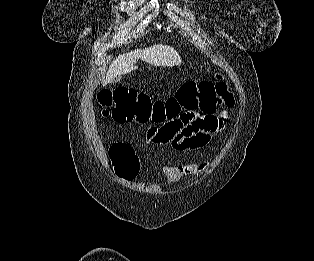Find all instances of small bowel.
<instances>
[{
    "mask_svg": "<svg viewBox=\"0 0 314 261\" xmlns=\"http://www.w3.org/2000/svg\"><path fill=\"white\" fill-rule=\"evenodd\" d=\"M233 103L231 97L224 105L230 107ZM224 127L225 115L217 108L210 112L207 109H185L184 113L173 116V120H164L160 126L150 128L144 134V139L157 148H170L172 151L198 150L207 146L212 136L221 133ZM206 169V164H166L162 167V172L174 184L182 177L198 175Z\"/></svg>",
    "mask_w": 314,
    "mask_h": 261,
    "instance_id": "1",
    "label": "small bowel"
}]
</instances>
